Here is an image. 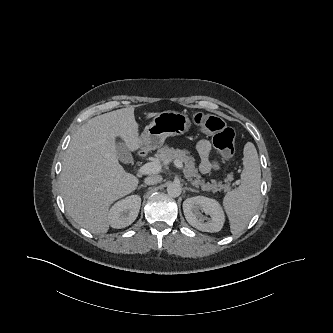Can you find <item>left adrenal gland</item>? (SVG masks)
<instances>
[{
    "instance_id": "obj_1",
    "label": "left adrenal gland",
    "mask_w": 333,
    "mask_h": 333,
    "mask_svg": "<svg viewBox=\"0 0 333 333\" xmlns=\"http://www.w3.org/2000/svg\"><path fill=\"white\" fill-rule=\"evenodd\" d=\"M186 190L191 191V192H198V190L193 189L191 187H185Z\"/></svg>"
}]
</instances>
